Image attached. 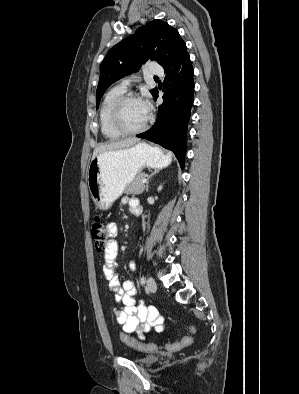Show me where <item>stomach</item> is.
<instances>
[{"label":"stomach","instance_id":"0dacf381","mask_svg":"<svg viewBox=\"0 0 299 394\" xmlns=\"http://www.w3.org/2000/svg\"><path fill=\"white\" fill-rule=\"evenodd\" d=\"M171 162V155L144 142L100 153L92 158L87 170L88 188L95 207L108 209L144 167L161 169Z\"/></svg>","mask_w":299,"mask_h":394}]
</instances>
